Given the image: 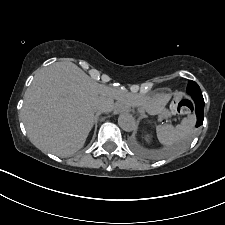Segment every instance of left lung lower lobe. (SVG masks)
I'll list each match as a JSON object with an SVG mask.
<instances>
[{"label":"left lung lower lobe","mask_w":225,"mask_h":225,"mask_svg":"<svg viewBox=\"0 0 225 225\" xmlns=\"http://www.w3.org/2000/svg\"><path fill=\"white\" fill-rule=\"evenodd\" d=\"M192 99L195 104V111L197 116L196 127H199L200 125L203 124V119H204V99L203 97H194ZM191 109H193L192 105H191Z\"/></svg>","instance_id":"0a47b994"}]
</instances>
